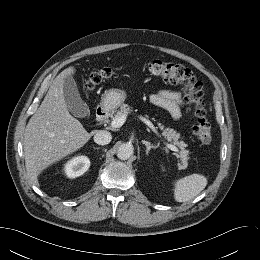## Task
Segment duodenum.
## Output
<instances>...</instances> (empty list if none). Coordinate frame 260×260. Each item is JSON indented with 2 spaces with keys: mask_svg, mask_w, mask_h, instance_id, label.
I'll use <instances>...</instances> for the list:
<instances>
[{
  "mask_svg": "<svg viewBox=\"0 0 260 260\" xmlns=\"http://www.w3.org/2000/svg\"><path fill=\"white\" fill-rule=\"evenodd\" d=\"M109 115V106L108 105H102L97 108L95 113V119L97 121H103L105 120Z\"/></svg>",
  "mask_w": 260,
  "mask_h": 260,
  "instance_id": "duodenum-1",
  "label": "duodenum"
}]
</instances>
